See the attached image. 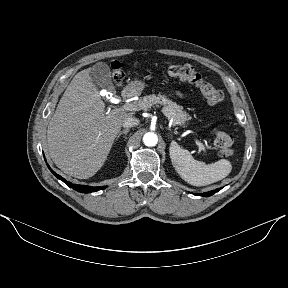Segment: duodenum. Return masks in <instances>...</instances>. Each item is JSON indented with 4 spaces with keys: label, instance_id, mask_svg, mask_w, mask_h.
<instances>
[{
    "label": "duodenum",
    "instance_id": "duodenum-1",
    "mask_svg": "<svg viewBox=\"0 0 288 288\" xmlns=\"http://www.w3.org/2000/svg\"><path fill=\"white\" fill-rule=\"evenodd\" d=\"M132 96V91L130 89H125L123 92H122V97L124 99H128Z\"/></svg>",
    "mask_w": 288,
    "mask_h": 288
}]
</instances>
